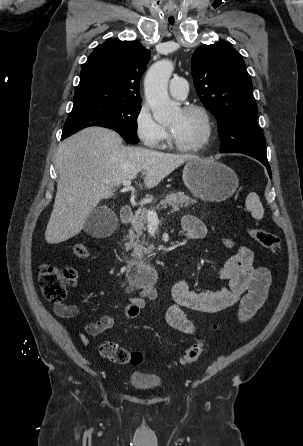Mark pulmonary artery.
<instances>
[{
  "mask_svg": "<svg viewBox=\"0 0 303 446\" xmlns=\"http://www.w3.org/2000/svg\"><path fill=\"white\" fill-rule=\"evenodd\" d=\"M169 93L176 99L183 100L188 94V82L183 77H174L169 83Z\"/></svg>",
  "mask_w": 303,
  "mask_h": 446,
  "instance_id": "1",
  "label": "pulmonary artery"
}]
</instances>
